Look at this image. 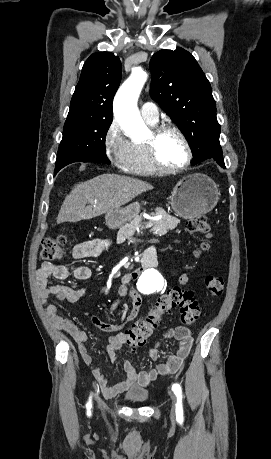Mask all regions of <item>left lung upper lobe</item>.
Wrapping results in <instances>:
<instances>
[{
	"instance_id": "left-lung-upper-lobe-1",
	"label": "left lung upper lobe",
	"mask_w": 271,
	"mask_h": 459,
	"mask_svg": "<svg viewBox=\"0 0 271 459\" xmlns=\"http://www.w3.org/2000/svg\"><path fill=\"white\" fill-rule=\"evenodd\" d=\"M150 69V95L187 138L192 165L222 155L215 100L195 58L180 47L160 50L152 56Z\"/></svg>"
}]
</instances>
